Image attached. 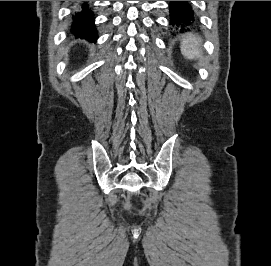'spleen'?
I'll return each instance as SVG.
<instances>
[{"instance_id": "spleen-1", "label": "spleen", "mask_w": 271, "mask_h": 266, "mask_svg": "<svg viewBox=\"0 0 271 266\" xmlns=\"http://www.w3.org/2000/svg\"><path fill=\"white\" fill-rule=\"evenodd\" d=\"M181 53L188 60H194L201 54V39L194 34H187L181 42Z\"/></svg>"}]
</instances>
